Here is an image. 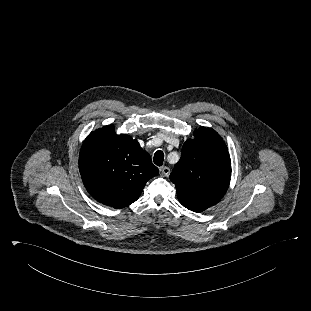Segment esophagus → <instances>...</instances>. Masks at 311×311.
<instances>
[{"label": "esophagus", "instance_id": "obj_1", "mask_svg": "<svg viewBox=\"0 0 311 311\" xmlns=\"http://www.w3.org/2000/svg\"><path fill=\"white\" fill-rule=\"evenodd\" d=\"M160 172L162 173L163 176H169L170 169L167 166H162L160 167Z\"/></svg>", "mask_w": 311, "mask_h": 311}]
</instances>
